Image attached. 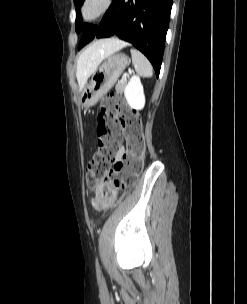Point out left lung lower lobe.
<instances>
[{
  "mask_svg": "<svg viewBox=\"0 0 247 304\" xmlns=\"http://www.w3.org/2000/svg\"><path fill=\"white\" fill-rule=\"evenodd\" d=\"M173 0H113L99 25L84 31L78 49L94 38L117 36L132 43L159 76Z\"/></svg>",
  "mask_w": 247,
  "mask_h": 304,
  "instance_id": "1",
  "label": "left lung lower lobe"
}]
</instances>
